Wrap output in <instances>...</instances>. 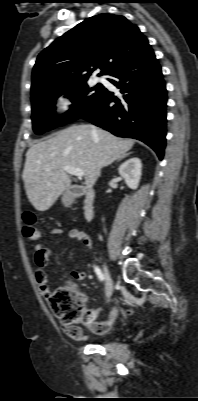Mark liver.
I'll return each instance as SVG.
<instances>
[{"mask_svg": "<svg viewBox=\"0 0 198 401\" xmlns=\"http://www.w3.org/2000/svg\"><path fill=\"white\" fill-rule=\"evenodd\" d=\"M133 145L132 139L86 124L70 126L32 145L22 175L29 201L39 211L48 210L70 187L64 166L82 169L87 187H92L101 169L125 157Z\"/></svg>", "mask_w": 198, "mask_h": 401, "instance_id": "liver-1", "label": "liver"}]
</instances>
